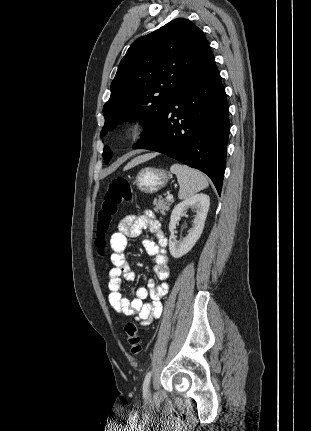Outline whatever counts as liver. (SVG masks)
<instances>
[{
	"label": "liver",
	"mask_w": 311,
	"mask_h": 431,
	"mask_svg": "<svg viewBox=\"0 0 311 431\" xmlns=\"http://www.w3.org/2000/svg\"><path fill=\"white\" fill-rule=\"evenodd\" d=\"M148 154L146 156H137V158H134V160H131V162H128L127 166H125L124 170H130V168H134V166H139V164H143V162H147Z\"/></svg>",
	"instance_id": "6515ba94"
}]
</instances>
